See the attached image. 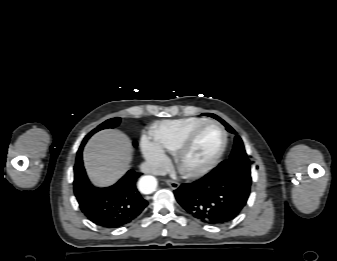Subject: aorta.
I'll use <instances>...</instances> for the list:
<instances>
[{
    "mask_svg": "<svg viewBox=\"0 0 337 261\" xmlns=\"http://www.w3.org/2000/svg\"><path fill=\"white\" fill-rule=\"evenodd\" d=\"M138 187L143 194H150L156 190L157 180L150 175L143 176L139 180Z\"/></svg>",
    "mask_w": 337,
    "mask_h": 261,
    "instance_id": "obj_1",
    "label": "aorta"
}]
</instances>
